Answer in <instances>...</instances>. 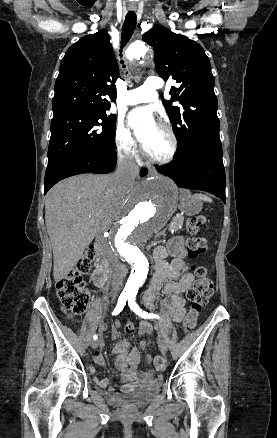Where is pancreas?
Segmentation results:
<instances>
[{
    "mask_svg": "<svg viewBox=\"0 0 277 438\" xmlns=\"http://www.w3.org/2000/svg\"><path fill=\"white\" fill-rule=\"evenodd\" d=\"M185 219L186 218L184 214H173L171 222L172 224H170L168 228L170 233H179L180 227H182Z\"/></svg>",
    "mask_w": 277,
    "mask_h": 438,
    "instance_id": "pancreas-1",
    "label": "pancreas"
}]
</instances>
